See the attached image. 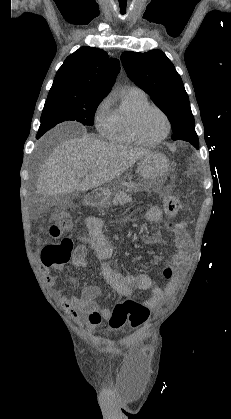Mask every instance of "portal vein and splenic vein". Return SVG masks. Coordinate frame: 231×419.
<instances>
[{
    "instance_id": "18ae733b",
    "label": "portal vein and splenic vein",
    "mask_w": 231,
    "mask_h": 419,
    "mask_svg": "<svg viewBox=\"0 0 231 419\" xmlns=\"http://www.w3.org/2000/svg\"><path fill=\"white\" fill-rule=\"evenodd\" d=\"M88 174V171L87 170H84V171H82V172H80L79 174H78V177H83V176H85V175H87Z\"/></svg>"
}]
</instances>
